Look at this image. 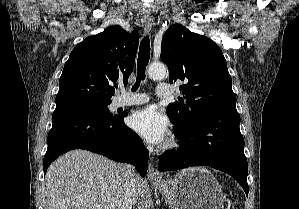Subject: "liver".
<instances>
[{
  "mask_svg": "<svg viewBox=\"0 0 299 209\" xmlns=\"http://www.w3.org/2000/svg\"><path fill=\"white\" fill-rule=\"evenodd\" d=\"M122 164L85 150L60 156L47 170L42 198L44 209H118L124 194ZM141 181L136 176L131 189L135 204Z\"/></svg>",
  "mask_w": 299,
  "mask_h": 209,
  "instance_id": "1",
  "label": "liver"
}]
</instances>
